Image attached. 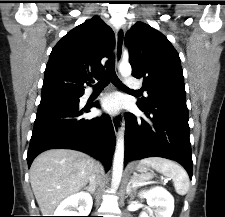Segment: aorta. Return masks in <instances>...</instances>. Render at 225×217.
I'll return each instance as SVG.
<instances>
[{"label":"aorta","instance_id":"762f6f07","mask_svg":"<svg viewBox=\"0 0 225 217\" xmlns=\"http://www.w3.org/2000/svg\"><path fill=\"white\" fill-rule=\"evenodd\" d=\"M119 72L123 77H128L131 75L132 69L128 62H121L119 65ZM124 132L121 130L116 142V148L114 153L113 161V178L115 181H120L123 172V162H124Z\"/></svg>","mask_w":225,"mask_h":217}]
</instances>
